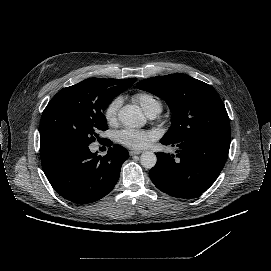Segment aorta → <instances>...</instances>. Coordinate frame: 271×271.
<instances>
[{
  "mask_svg": "<svg viewBox=\"0 0 271 271\" xmlns=\"http://www.w3.org/2000/svg\"><path fill=\"white\" fill-rule=\"evenodd\" d=\"M118 120L128 128L141 127L146 123L139 106L127 104L120 108L117 113ZM141 165L146 169L153 168L157 163V157L153 152H144L140 158Z\"/></svg>",
  "mask_w": 271,
  "mask_h": 271,
  "instance_id": "762f6f07",
  "label": "aorta"
}]
</instances>
